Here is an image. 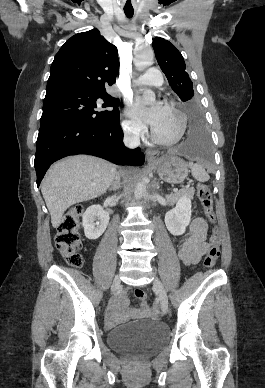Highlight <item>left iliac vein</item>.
Instances as JSON below:
<instances>
[{
  "mask_svg": "<svg viewBox=\"0 0 265 388\" xmlns=\"http://www.w3.org/2000/svg\"><path fill=\"white\" fill-rule=\"evenodd\" d=\"M153 285L157 290V294L160 299V307L163 314H166L168 311V296L166 290L158 278H155L153 281Z\"/></svg>",
  "mask_w": 265,
  "mask_h": 388,
  "instance_id": "obj_1",
  "label": "left iliac vein"
}]
</instances>
